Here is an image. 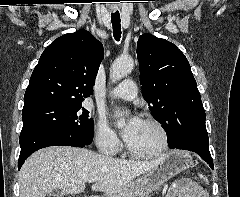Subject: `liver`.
I'll use <instances>...</instances> for the list:
<instances>
[{
  "label": "liver",
  "instance_id": "6515ba94",
  "mask_svg": "<svg viewBox=\"0 0 240 197\" xmlns=\"http://www.w3.org/2000/svg\"><path fill=\"white\" fill-rule=\"evenodd\" d=\"M163 159L164 156L152 161L122 160L86 148H44L33 153L20 170V197H45L56 189L63 194H79L92 178L97 179L92 190L115 195Z\"/></svg>",
  "mask_w": 240,
  "mask_h": 197
}]
</instances>
